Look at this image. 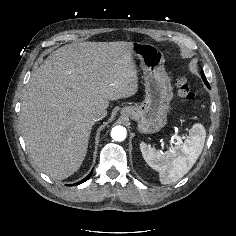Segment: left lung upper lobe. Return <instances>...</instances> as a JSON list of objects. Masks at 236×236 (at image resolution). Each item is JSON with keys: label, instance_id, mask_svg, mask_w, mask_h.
Segmentation results:
<instances>
[{"label": "left lung upper lobe", "instance_id": "obj_1", "mask_svg": "<svg viewBox=\"0 0 236 236\" xmlns=\"http://www.w3.org/2000/svg\"><path fill=\"white\" fill-rule=\"evenodd\" d=\"M201 76H202V79H203V81L205 82V84H206L208 87H210V86H209V83H208V81H207V79H206V77H205V75H204V73H203V71L201 72Z\"/></svg>", "mask_w": 236, "mask_h": 236}]
</instances>
